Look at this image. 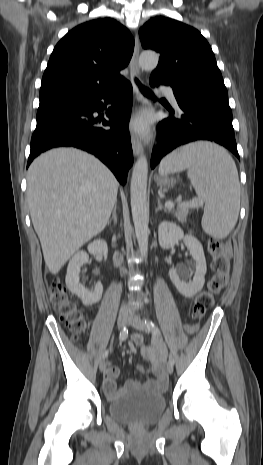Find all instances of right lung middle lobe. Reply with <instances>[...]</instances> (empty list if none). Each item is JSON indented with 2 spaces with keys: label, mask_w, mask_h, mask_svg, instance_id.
<instances>
[{
  "label": "right lung middle lobe",
  "mask_w": 263,
  "mask_h": 465,
  "mask_svg": "<svg viewBox=\"0 0 263 465\" xmlns=\"http://www.w3.org/2000/svg\"><path fill=\"white\" fill-rule=\"evenodd\" d=\"M70 98H71V97H67V98H57V99H50V100H43V101H40L39 108L44 107V106H47V105H51V104H54V103L66 101V100H68V99H70Z\"/></svg>",
  "instance_id": "1"
}]
</instances>
